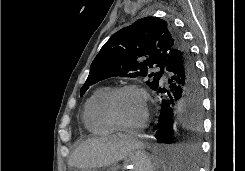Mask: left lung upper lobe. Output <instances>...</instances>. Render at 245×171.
Segmentation results:
<instances>
[{
  "instance_id": "1",
  "label": "left lung upper lobe",
  "mask_w": 245,
  "mask_h": 171,
  "mask_svg": "<svg viewBox=\"0 0 245 171\" xmlns=\"http://www.w3.org/2000/svg\"><path fill=\"white\" fill-rule=\"evenodd\" d=\"M182 44L185 41L170 21L158 17L137 20L116 32L104 44L91 64L80 96L101 80L116 76L145 77L149 68L159 67V72L148 75L152 81L146 82L156 91L169 55Z\"/></svg>"
}]
</instances>
